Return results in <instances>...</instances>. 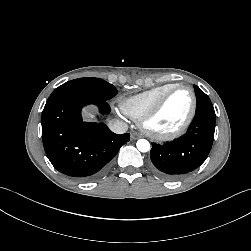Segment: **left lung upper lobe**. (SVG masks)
Segmentation results:
<instances>
[{
	"label": "left lung upper lobe",
	"instance_id": "obj_1",
	"mask_svg": "<svg viewBox=\"0 0 251 251\" xmlns=\"http://www.w3.org/2000/svg\"><path fill=\"white\" fill-rule=\"evenodd\" d=\"M196 97H197V107L196 113H208V114H215L213 105L209 99V97L198 87L194 86Z\"/></svg>",
	"mask_w": 251,
	"mask_h": 251
}]
</instances>
